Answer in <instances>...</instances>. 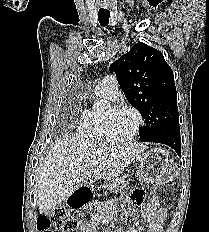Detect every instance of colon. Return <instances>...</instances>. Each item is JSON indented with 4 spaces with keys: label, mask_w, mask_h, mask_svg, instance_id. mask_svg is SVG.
<instances>
[{
    "label": "colon",
    "mask_w": 209,
    "mask_h": 232,
    "mask_svg": "<svg viewBox=\"0 0 209 232\" xmlns=\"http://www.w3.org/2000/svg\"><path fill=\"white\" fill-rule=\"evenodd\" d=\"M36 226L40 232H50L51 227L60 232H76L79 228V221L71 217L64 208L56 207L38 216Z\"/></svg>",
    "instance_id": "colon-1"
}]
</instances>
